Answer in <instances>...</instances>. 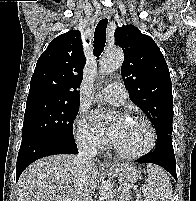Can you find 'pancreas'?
Segmentation results:
<instances>
[{"label": "pancreas", "mask_w": 196, "mask_h": 201, "mask_svg": "<svg viewBox=\"0 0 196 201\" xmlns=\"http://www.w3.org/2000/svg\"><path fill=\"white\" fill-rule=\"evenodd\" d=\"M129 199H130V192L122 190L120 193V201H129Z\"/></svg>", "instance_id": "obj_1"}]
</instances>
